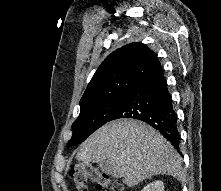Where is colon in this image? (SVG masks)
<instances>
[{
  "label": "colon",
  "instance_id": "colon-1",
  "mask_svg": "<svg viewBox=\"0 0 221 191\" xmlns=\"http://www.w3.org/2000/svg\"><path fill=\"white\" fill-rule=\"evenodd\" d=\"M69 177L77 191H88V183H93L96 191H124L121 181L111 178L89 164L81 163L74 165Z\"/></svg>",
  "mask_w": 221,
  "mask_h": 191
}]
</instances>
